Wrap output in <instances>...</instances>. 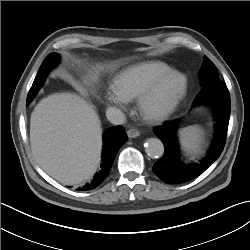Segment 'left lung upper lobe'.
Instances as JSON below:
<instances>
[{
	"label": "left lung upper lobe",
	"mask_w": 250,
	"mask_h": 250,
	"mask_svg": "<svg viewBox=\"0 0 250 250\" xmlns=\"http://www.w3.org/2000/svg\"><path fill=\"white\" fill-rule=\"evenodd\" d=\"M217 71L215 65L207 57H204L203 64L198 74L203 87L208 84L220 82Z\"/></svg>",
	"instance_id": "obj_1"
}]
</instances>
